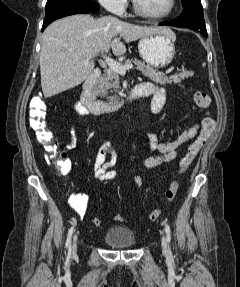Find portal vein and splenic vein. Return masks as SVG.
Segmentation results:
<instances>
[{"mask_svg": "<svg viewBox=\"0 0 240 287\" xmlns=\"http://www.w3.org/2000/svg\"><path fill=\"white\" fill-rule=\"evenodd\" d=\"M105 59V62L107 63V65L109 66V68L121 75H125L126 71L129 69L133 68L132 64H127V65H121L120 63L116 62L115 60H113L110 57L107 56H103ZM92 58V56H89L85 59V63H88L90 61V59ZM177 74L173 75L172 78H176Z\"/></svg>", "mask_w": 240, "mask_h": 287, "instance_id": "1", "label": "portal vein and splenic vein"}]
</instances>
